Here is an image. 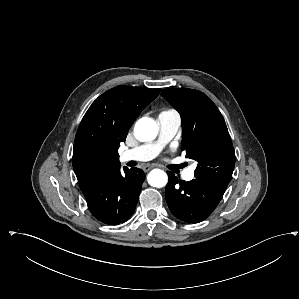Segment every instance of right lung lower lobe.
I'll return each mask as SVG.
<instances>
[{"mask_svg": "<svg viewBox=\"0 0 299 299\" xmlns=\"http://www.w3.org/2000/svg\"><path fill=\"white\" fill-rule=\"evenodd\" d=\"M145 174L141 169L120 167L105 172L83 193L91 214L99 221L116 225L127 221L138 202Z\"/></svg>", "mask_w": 299, "mask_h": 299, "instance_id": "obj_1", "label": "right lung lower lobe"}]
</instances>
